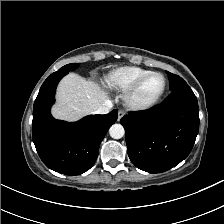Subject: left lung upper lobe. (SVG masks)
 <instances>
[{"label": "left lung upper lobe", "mask_w": 224, "mask_h": 224, "mask_svg": "<svg viewBox=\"0 0 224 224\" xmlns=\"http://www.w3.org/2000/svg\"><path fill=\"white\" fill-rule=\"evenodd\" d=\"M167 74L170 81V89L172 91L187 84L181 77L174 75L168 71Z\"/></svg>", "instance_id": "obj_1"}]
</instances>
